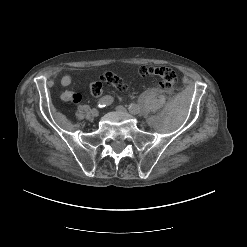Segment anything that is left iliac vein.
<instances>
[{"mask_svg":"<svg viewBox=\"0 0 247 247\" xmlns=\"http://www.w3.org/2000/svg\"><path fill=\"white\" fill-rule=\"evenodd\" d=\"M116 110L119 111V112H122V113H126L127 112V109L125 107L121 106V105L117 106ZM133 115H137V114H133Z\"/></svg>","mask_w":247,"mask_h":247,"instance_id":"left-iliac-vein-1","label":"left iliac vein"}]
</instances>
